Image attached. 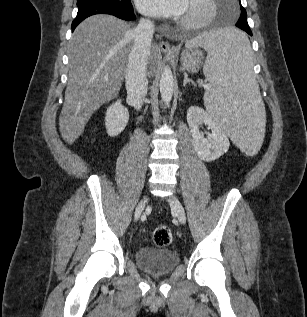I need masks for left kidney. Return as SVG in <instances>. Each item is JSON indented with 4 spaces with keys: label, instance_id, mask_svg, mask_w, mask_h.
I'll use <instances>...</instances> for the list:
<instances>
[{
    "label": "left kidney",
    "instance_id": "5707ae66",
    "mask_svg": "<svg viewBox=\"0 0 307 317\" xmlns=\"http://www.w3.org/2000/svg\"><path fill=\"white\" fill-rule=\"evenodd\" d=\"M187 122L192 135L194 148L204 161L218 159L229 149V139L221 126L201 107L191 106L187 111ZM205 124L211 129V134L204 137L200 125Z\"/></svg>",
    "mask_w": 307,
    "mask_h": 317
}]
</instances>
